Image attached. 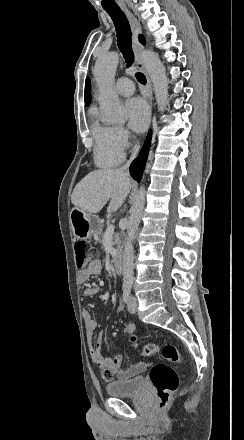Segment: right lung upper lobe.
Returning a JSON list of instances; mask_svg holds the SVG:
<instances>
[{"label":"right lung upper lobe","mask_w":244,"mask_h":440,"mask_svg":"<svg viewBox=\"0 0 244 440\" xmlns=\"http://www.w3.org/2000/svg\"><path fill=\"white\" fill-rule=\"evenodd\" d=\"M139 40L141 43L145 44V39L142 35L139 36ZM91 102V84L90 79L86 78L85 82V104H88Z\"/></svg>","instance_id":"cb5924a9"}]
</instances>
